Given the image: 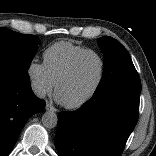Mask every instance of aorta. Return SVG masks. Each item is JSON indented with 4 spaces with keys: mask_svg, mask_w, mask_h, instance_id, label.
I'll return each instance as SVG.
<instances>
[{
    "mask_svg": "<svg viewBox=\"0 0 156 156\" xmlns=\"http://www.w3.org/2000/svg\"><path fill=\"white\" fill-rule=\"evenodd\" d=\"M58 117L53 111H47L42 116V124L44 127L52 129L57 126Z\"/></svg>",
    "mask_w": 156,
    "mask_h": 156,
    "instance_id": "762f6f07",
    "label": "aorta"
}]
</instances>
